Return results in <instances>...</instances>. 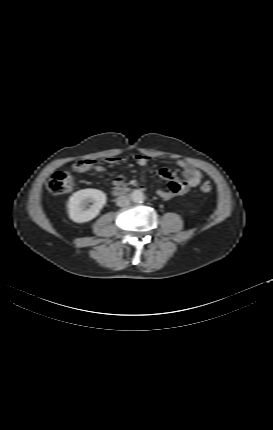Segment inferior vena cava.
I'll return each mask as SVG.
<instances>
[{"instance_id":"602c4592","label":"inferior vena cava","mask_w":273,"mask_h":430,"mask_svg":"<svg viewBox=\"0 0 273 430\" xmlns=\"http://www.w3.org/2000/svg\"><path fill=\"white\" fill-rule=\"evenodd\" d=\"M116 202L119 207H127L130 204V200L127 196L118 197Z\"/></svg>"}]
</instances>
